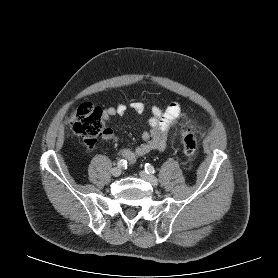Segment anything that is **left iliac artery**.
<instances>
[{
    "instance_id": "obj_1",
    "label": "left iliac artery",
    "mask_w": 278,
    "mask_h": 278,
    "mask_svg": "<svg viewBox=\"0 0 278 278\" xmlns=\"http://www.w3.org/2000/svg\"><path fill=\"white\" fill-rule=\"evenodd\" d=\"M144 169L146 173H155L154 167L149 163L145 164Z\"/></svg>"
}]
</instances>
